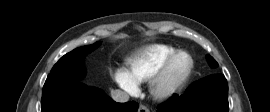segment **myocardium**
<instances>
[{"label":"myocardium","instance_id":"1","mask_svg":"<svg viewBox=\"0 0 270 112\" xmlns=\"http://www.w3.org/2000/svg\"><path fill=\"white\" fill-rule=\"evenodd\" d=\"M180 54H186L189 58L190 64L186 72L172 85L165 86L164 81L168 69L173 60ZM195 69V60L192 54L185 49H177L169 54L162 62L157 71L149 79L148 89L150 96L156 101H166L182 91L190 80Z\"/></svg>","mask_w":270,"mask_h":112}]
</instances>
